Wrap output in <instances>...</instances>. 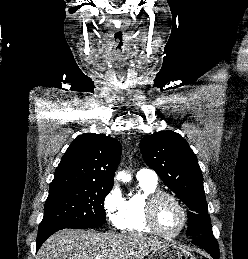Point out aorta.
Listing matches in <instances>:
<instances>
[{
    "instance_id": "aorta-1",
    "label": "aorta",
    "mask_w": 248,
    "mask_h": 259,
    "mask_svg": "<svg viewBox=\"0 0 248 259\" xmlns=\"http://www.w3.org/2000/svg\"><path fill=\"white\" fill-rule=\"evenodd\" d=\"M117 178L120 179L122 182H129L131 180V176L125 171L118 172Z\"/></svg>"
}]
</instances>
